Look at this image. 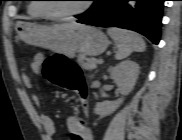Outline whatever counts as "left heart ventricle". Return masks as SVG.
I'll return each instance as SVG.
<instances>
[{"instance_id":"b2bd125f","label":"left heart ventricle","mask_w":182,"mask_h":140,"mask_svg":"<svg viewBox=\"0 0 182 140\" xmlns=\"http://www.w3.org/2000/svg\"><path fill=\"white\" fill-rule=\"evenodd\" d=\"M81 0H53L48 8L57 13H67L80 9L84 3Z\"/></svg>"}]
</instances>
